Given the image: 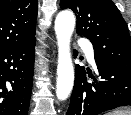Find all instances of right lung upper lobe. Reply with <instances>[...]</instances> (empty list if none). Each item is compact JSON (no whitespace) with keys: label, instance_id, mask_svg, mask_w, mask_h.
Listing matches in <instances>:
<instances>
[{"label":"right lung upper lobe","instance_id":"right-lung-upper-lobe-1","mask_svg":"<svg viewBox=\"0 0 131 115\" xmlns=\"http://www.w3.org/2000/svg\"><path fill=\"white\" fill-rule=\"evenodd\" d=\"M37 0H0V51L35 37Z\"/></svg>","mask_w":131,"mask_h":115}]
</instances>
